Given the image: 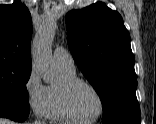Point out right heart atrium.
Wrapping results in <instances>:
<instances>
[{"mask_svg":"<svg viewBox=\"0 0 156 124\" xmlns=\"http://www.w3.org/2000/svg\"><path fill=\"white\" fill-rule=\"evenodd\" d=\"M25 95L28 106L39 117L47 118L50 112V96L35 68H32L25 81Z\"/></svg>","mask_w":156,"mask_h":124,"instance_id":"1","label":"right heart atrium"}]
</instances>
